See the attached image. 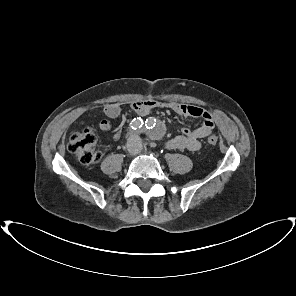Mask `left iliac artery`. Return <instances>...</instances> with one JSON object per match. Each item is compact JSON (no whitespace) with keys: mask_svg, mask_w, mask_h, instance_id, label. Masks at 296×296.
<instances>
[{"mask_svg":"<svg viewBox=\"0 0 296 296\" xmlns=\"http://www.w3.org/2000/svg\"><path fill=\"white\" fill-rule=\"evenodd\" d=\"M147 121H148V120H146V123H147ZM145 126H146L147 129H148V128L150 129V127H148V126H149V122H148L147 124H145ZM151 128H152V127H151Z\"/></svg>","mask_w":296,"mask_h":296,"instance_id":"1","label":"left iliac artery"}]
</instances>
